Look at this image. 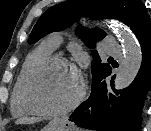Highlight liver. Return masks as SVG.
Masks as SVG:
<instances>
[{"mask_svg":"<svg viewBox=\"0 0 151 131\" xmlns=\"http://www.w3.org/2000/svg\"><path fill=\"white\" fill-rule=\"evenodd\" d=\"M37 119L36 118H31V119H28V118H20L16 121V124H24V123H34L36 122Z\"/></svg>","mask_w":151,"mask_h":131,"instance_id":"6515ba94","label":"liver"}]
</instances>
